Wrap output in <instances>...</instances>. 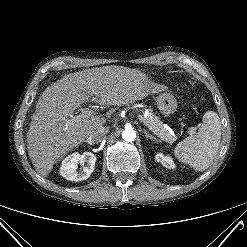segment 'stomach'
<instances>
[{"mask_svg": "<svg viewBox=\"0 0 247 247\" xmlns=\"http://www.w3.org/2000/svg\"><path fill=\"white\" fill-rule=\"evenodd\" d=\"M157 106L160 112L163 115H171L176 111L177 108V100L175 97L167 92L161 93L157 99Z\"/></svg>", "mask_w": 247, "mask_h": 247, "instance_id": "1", "label": "stomach"}]
</instances>
